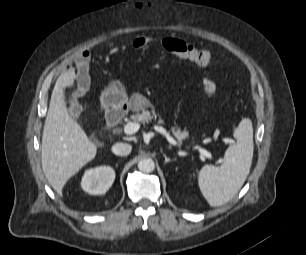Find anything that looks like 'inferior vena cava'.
Returning <instances> with one entry per match:
<instances>
[{"instance_id":"602c4592","label":"inferior vena cava","mask_w":306,"mask_h":255,"mask_svg":"<svg viewBox=\"0 0 306 255\" xmlns=\"http://www.w3.org/2000/svg\"><path fill=\"white\" fill-rule=\"evenodd\" d=\"M132 146L126 143H116L112 146V152L115 155L127 156L130 154Z\"/></svg>"}]
</instances>
